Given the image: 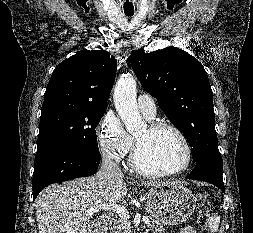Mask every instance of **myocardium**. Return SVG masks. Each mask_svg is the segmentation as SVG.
<instances>
[{
    "label": "myocardium",
    "instance_id": "1",
    "mask_svg": "<svg viewBox=\"0 0 253 233\" xmlns=\"http://www.w3.org/2000/svg\"><path fill=\"white\" fill-rule=\"evenodd\" d=\"M148 128L151 132H158L161 130H169L173 132L179 138L180 142L183 145L184 152H185L184 161L180 167L173 170H149L145 168L140 162V159H139L140 146L137 139H135L132 154H131L132 167L137 172L147 177L175 176V175L185 172L189 168L192 162V148L185 134L177 126L171 123L162 122V121L151 122L149 123Z\"/></svg>",
    "mask_w": 253,
    "mask_h": 233
}]
</instances>
